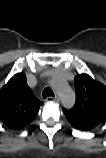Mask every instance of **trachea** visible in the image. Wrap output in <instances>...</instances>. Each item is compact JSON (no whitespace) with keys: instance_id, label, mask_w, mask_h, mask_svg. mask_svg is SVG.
<instances>
[{"instance_id":"obj_1","label":"trachea","mask_w":106,"mask_h":158,"mask_svg":"<svg viewBox=\"0 0 106 158\" xmlns=\"http://www.w3.org/2000/svg\"><path fill=\"white\" fill-rule=\"evenodd\" d=\"M42 96H43V98H46V97H49V96H54V93H53L51 88L47 87L43 90Z\"/></svg>"}]
</instances>
